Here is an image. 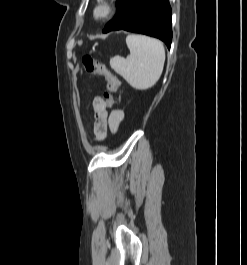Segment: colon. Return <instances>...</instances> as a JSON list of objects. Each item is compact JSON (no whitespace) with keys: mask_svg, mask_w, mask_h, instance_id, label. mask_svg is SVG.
I'll return each mask as SVG.
<instances>
[{"mask_svg":"<svg viewBox=\"0 0 247 265\" xmlns=\"http://www.w3.org/2000/svg\"><path fill=\"white\" fill-rule=\"evenodd\" d=\"M82 62L88 73L101 76L107 81V90L103 94V99L107 107L113 106L115 103V94L120 86L118 78L105 65L94 60L89 55H85Z\"/></svg>","mask_w":247,"mask_h":265,"instance_id":"1","label":"colon"}]
</instances>
